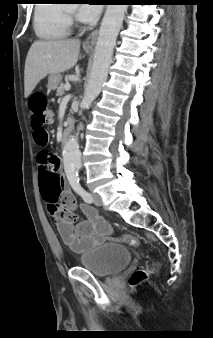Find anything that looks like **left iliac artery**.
I'll list each match as a JSON object with an SVG mask.
<instances>
[{
    "mask_svg": "<svg viewBox=\"0 0 213 338\" xmlns=\"http://www.w3.org/2000/svg\"><path fill=\"white\" fill-rule=\"evenodd\" d=\"M73 190L82 197L86 203H92V196L81 186L80 182H75L72 185Z\"/></svg>",
    "mask_w": 213,
    "mask_h": 338,
    "instance_id": "obj_1",
    "label": "left iliac artery"
}]
</instances>
